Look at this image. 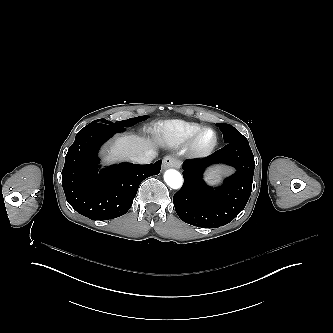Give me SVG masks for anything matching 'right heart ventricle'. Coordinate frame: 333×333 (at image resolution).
<instances>
[{"label":"right heart ventricle","mask_w":333,"mask_h":333,"mask_svg":"<svg viewBox=\"0 0 333 333\" xmlns=\"http://www.w3.org/2000/svg\"><path fill=\"white\" fill-rule=\"evenodd\" d=\"M199 128L201 124L196 122L174 120L161 125L160 132L167 143L179 146L187 142Z\"/></svg>","instance_id":"obj_1"}]
</instances>
